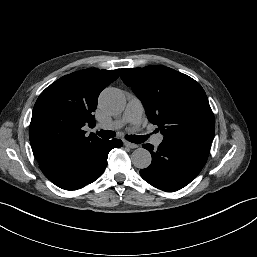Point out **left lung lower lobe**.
Returning a JSON list of instances; mask_svg holds the SVG:
<instances>
[{"instance_id":"0a47b994","label":"left lung lower lobe","mask_w":257,"mask_h":257,"mask_svg":"<svg viewBox=\"0 0 257 257\" xmlns=\"http://www.w3.org/2000/svg\"><path fill=\"white\" fill-rule=\"evenodd\" d=\"M211 140L181 141L167 139L157 149L144 144L152 155V162L140 170L141 177L150 185L167 192L188 185L204 167L210 151Z\"/></svg>"}]
</instances>
